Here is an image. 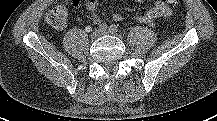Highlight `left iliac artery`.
<instances>
[{"label":"left iliac artery","instance_id":"44dca946","mask_svg":"<svg viewBox=\"0 0 217 121\" xmlns=\"http://www.w3.org/2000/svg\"><path fill=\"white\" fill-rule=\"evenodd\" d=\"M109 31L111 33H117L118 32V27L115 24L110 25Z\"/></svg>","mask_w":217,"mask_h":121}]
</instances>
